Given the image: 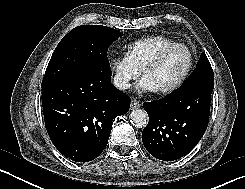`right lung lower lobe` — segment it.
<instances>
[{
    "label": "right lung lower lobe",
    "instance_id": "right-lung-lower-lobe-1",
    "mask_svg": "<svg viewBox=\"0 0 245 189\" xmlns=\"http://www.w3.org/2000/svg\"><path fill=\"white\" fill-rule=\"evenodd\" d=\"M110 66L95 64L42 91L44 120L57 150L76 162H88L105 149L117 116L130 98L110 81Z\"/></svg>",
    "mask_w": 245,
    "mask_h": 189
}]
</instances>
